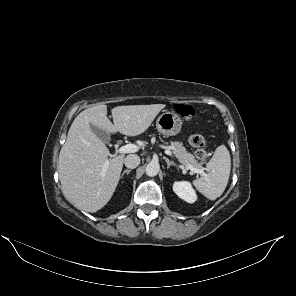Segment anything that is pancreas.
I'll list each match as a JSON object with an SVG mask.
<instances>
[{
    "instance_id": "pancreas-1",
    "label": "pancreas",
    "mask_w": 296,
    "mask_h": 296,
    "mask_svg": "<svg viewBox=\"0 0 296 296\" xmlns=\"http://www.w3.org/2000/svg\"><path fill=\"white\" fill-rule=\"evenodd\" d=\"M168 149L172 150L174 156L179 160L180 163L184 164L185 167L188 165L197 169L202 167V163L198 162L193 154L187 152L182 143L171 142V145L168 146Z\"/></svg>"
}]
</instances>
